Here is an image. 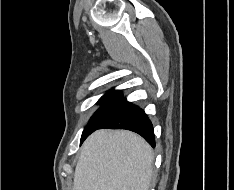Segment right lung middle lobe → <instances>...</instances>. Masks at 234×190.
I'll list each match as a JSON object with an SVG mask.
<instances>
[{
  "label": "right lung middle lobe",
  "instance_id": "dd1d6c3e",
  "mask_svg": "<svg viewBox=\"0 0 234 190\" xmlns=\"http://www.w3.org/2000/svg\"><path fill=\"white\" fill-rule=\"evenodd\" d=\"M121 97L120 91L118 90H110L102 96L98 101L101 107L91 117L82 135L96 130L111 114Z\"/></svg>",
  "mask_w": 234,
  "mask_h": 190
}]
</instances>
